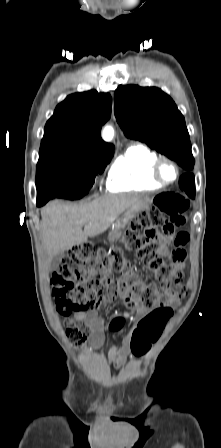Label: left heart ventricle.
I'll return each mask as SVG.
<instances>
[{
	"label": "left heart ventricle",
	"instance_id": "obj_1",
	"mask_svg": "<svg viewBox=\"0 0 221 448\" xmlns=\"http://www.w3.org/2000/svg\"><path fill=\"white\" fill-rule=\"evenodd\" d=\"M161 173L163 178L167 181H171L175 176V171L169 164L163 165Z\"/></svg>",
	"mask_w": 221,
	"mask_h": 448
}]
</instances>
